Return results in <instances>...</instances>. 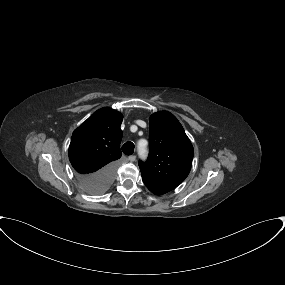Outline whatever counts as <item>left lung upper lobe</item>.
<instances>
[{"instance_id": "1", "label": "left lung upper lobe", "mask_w": 285, "mask_h": 285, "mask_svg": "<svg viewBox=\"0 0 285 285\" xmlns=\"http://www.w3.org/2000/svg\"><path fill=\"white\" fill-rule=\"evenodd\" d=\"M149 157L139 161L142 179L155 195L175 189L188 176L193 146L177 118L167 111L154 113L149 124Z\"/></svg>"}]
</instances>
